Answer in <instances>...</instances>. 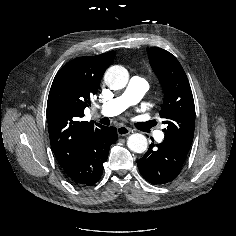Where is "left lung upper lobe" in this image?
Segmentation results:
<instances>
[{"label":"left lung upper lobe","instance_id":"left-lung-upper-lobe-1","mask_svg":"<svg viewBox=\"0 0 236 236\" xmlns=\"http://www.w3.org/2000/svg\"><path fill=\"white\" fill-rule=\"evenodd\" d=\"M151 67L163 86L164 99L160 116L166 128L164 141L187 155L195 129V105L188 78L179 61L168 51L148 49Z\"/></svg>","mask_w":236,"mask_h":236}]
</instances>
